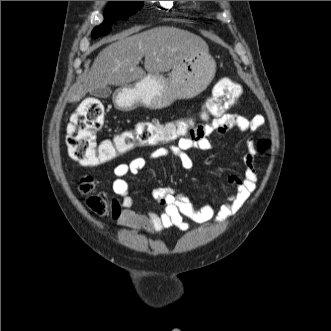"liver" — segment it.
<instances>
[{"label": "liver", "instance_id": "1", "mask_svg": "<svg viewBox=\"0 0 331 331\" xmlns=\"http://www.w3.org/2000/svg\"><path fill=\"white\" fill-rule=\"evenodd\" d=\"M129 34H121L98 54L70 102L80 101L88 92L107 85L127 86L145 77L146 71L155 75L168 72L190 54L208 49L201 37L174 27ZM143 57L145 70L138 66Z\"/></svg>", "mask_w": 331, "mask_h": 331}]
</instances>
